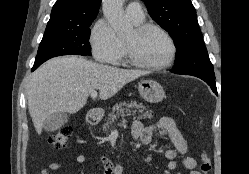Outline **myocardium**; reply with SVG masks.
I'll return each mask as SVG.
<instances>
[{
  "mask_svg": "<svg viewBox=\"0 0 249 174\" xmlns=\"http://www.w3.org/2000/svg\"><path fill=\"white\" fill-rule=\"evenodd\" d=\"M151 30H156L162 33L169 41L172 49L171 56L169 57V59L160 64H150L143 62L136 57V55L133 52L132 46L129 43L124 42V51H125L126 60L131 65L142 69L159 70L167 68L175 61V58L177 56V45L175 43V40L166 29L154 23H142L140 25H137L134 29V32L136 37H141Z\"/></svg>",
  "mask_w": 249,
  "mask_h": 174,
  "instance_id": "1",
  "label": "myocardium"
}]
</instances>
